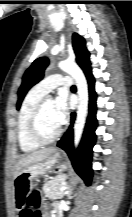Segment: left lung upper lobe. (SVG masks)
Here are the masks:
<instances>
[{
  "mask_svg": "<svg viewBox=\"0 0 132 217\" xmlns=\"http://www.w3.org/2000/svg\"><path fill=\"white\" fill-rule=\"evenodd\" d=\"M73 48L76 54V61L86 74L91 70L89 52L85 48V40L76 33L73 34ZM48 63L46 57H41L36 59L27 69L23 76L22 85L18 90L17 109L20 108L21 102L28 90L43 78V73Z\"/></svg>",
  "mask_w": 132,
  "mask_h": 217,
  "instance_id": "left-lung-upper-lobe-1",
  "label": "left lung upper lobe"
}]
</instances>
